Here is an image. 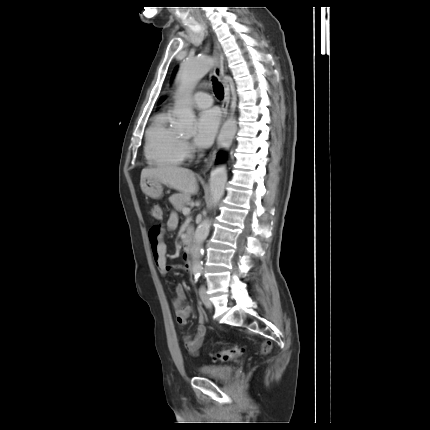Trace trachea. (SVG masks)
Returning <instances> with one entry per match:
<instances>
[{"label":"trachea","mask_w":430,"mask_h":430,"mask_svg":"<svg viewBox=\"0 0 430 430\" xmlns=\"http://www.w3.org/2000/svg\"><path fill=\"white\" fill-rule=\"evenodd\" d=\"M214 93H215V95L219 98V99H222L223 98V95H224V90H223V87H222V85L216 80V79H214Z\"/></svg>","instance_id":"obj_1"}]
</instances>
